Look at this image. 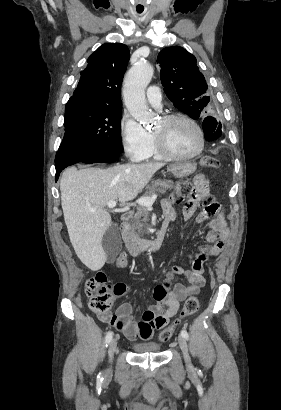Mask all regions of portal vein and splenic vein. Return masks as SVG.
Returning <instances> with one entry per match:
<instances>
[{
	"label": "portal vein and splenic vein",
	"instance_id": "obj_1",
	"mask_svg": "<svg viewBox=\"0 0 281 410\" xmlns=\"http://www.w3.org/2000/svg\"><path fill=\"white\" fill-rule=\"evenodd\" d=\"M157 198V194H153L151 197H141L139 198L136 203H138L139 205L145 206V207H151L153 205V203L155 202ZM116 201H110L108 202L107 206L109 208H114L116 207ZM92 212H96V209H91Z\"/></svg>",
	"mask_w": 281,
	"mask_h": 410
}]
</instances>
